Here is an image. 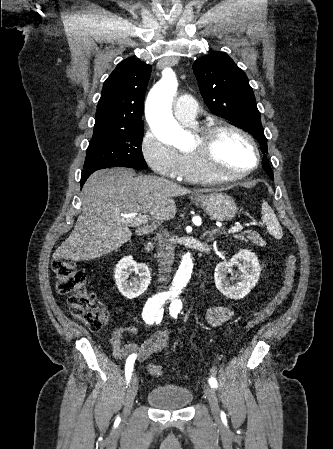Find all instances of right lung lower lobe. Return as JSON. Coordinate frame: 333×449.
I'll use <instances>...</instances> for the list:
<instances>
[{"label":"right lung lower lobe","instance_id":"1","mask_svg":"<svg viewBox=\"0 0 333 449\" xmlns=\"http://www.w3.org/2000/svg\"><path fill=\"white\" fill-rule=\"evenodd\" d=\"M94 171H83L81 176V187L83 186L84 182L87 180V178L93 173Z\"/></svg>","mask_w":333,"mask_h":449}]
</instances>
